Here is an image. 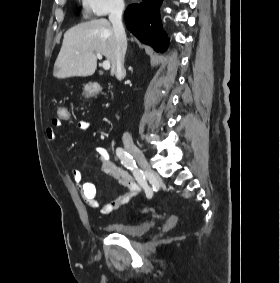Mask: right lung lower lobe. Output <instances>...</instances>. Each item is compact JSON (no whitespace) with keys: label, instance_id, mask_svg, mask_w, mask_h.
I'll use <instances>...</instances> for the list:
<instances>
[{"label":"right lung lower lobe","instance_id":"98d812e1","mask_svg":"<svg viewBox=\"0 0 280 283\" xmlns=\"http://www.w3.org/2000/svg\"><path fill=\"white\" fill-rule=\"evenodd\" d=\"M161 3L162 0H143L139 4L129 5L124 14L127 29L157 52L166 50L169 41L160 24Z\"/></svg>","mask_w":280,"mask_h":283}]
</instances>
